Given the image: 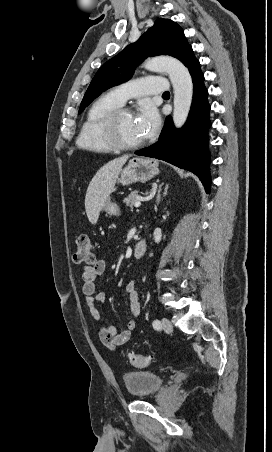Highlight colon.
I'll list each match as a JSON object with an SVG mask.
<instances>
[{
	"mask_svg": "<svg viewBox=\"0 0 272 452\" xmlns=\"http://www.w3.org/2000/svg\"><path fill=\"white\" fill-rule=\"evenodd\" d=\"M74 262L77 264H92L94 262V246L90 236L86 233H80L76 238ZM129 362L136 367L143 368L149 366L152 360L148 356L131 354Z\"/></svg>",
	"mask_w": 272,
	"mask_h": 452,
	"instance_id": "5ec220e1",
	"label": "colon"
}]
</instances>
